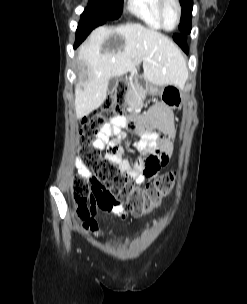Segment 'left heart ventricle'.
Here are the masks:
<instances>
[{
  "label": "left heart ventricle",
  "mask_w": 247,
  "mask_h": 304,
  "mask_svg": "<svg viewBox=\"0 0 247 304\" xmlns=\"http://www.w3.org/2000/svg\"><path fill=\"white\" fill-rule=\"evenodd\" d=\"M165 24L168 28H173L177 22V7L173 2H169L164 11Z\"/></svg>",
  "instance_id": "left-heart-ventricle-1"
}]
</instances>
